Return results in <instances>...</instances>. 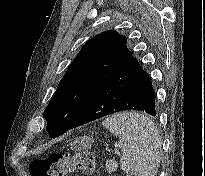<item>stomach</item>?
Here are the masks:
<instances>
[{
    "instance_id": "1",
    "label": "stomach",
    "mask_w": 205,
    "mask_h": 176,
    "mask_svg": "<svg viewBox=\"0 0 205 176\" xmlns=\"http://www.w3.org/2000/svg\"><path fill=\"white\" fill-rule=\"evenodd\" d=\"M93 140L88 136L77 138L72 144V149H89L92 145Z\"/></svg>"
}]
</instances>
